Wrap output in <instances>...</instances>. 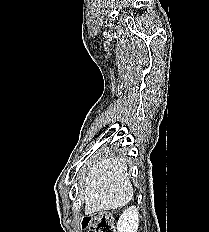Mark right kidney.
<instances>
[{
	"instance_id": "right-kidney-1",
	"label": "right kidney",
	"mask_w": 209,
	"mask_h": 232,
	"mask_svg": "<svg viewBox=\"0 0 209 232\" xmlns=\"http://www.w3.org/2000/svg\"><path fill=\"white\" fill-rule=\"evenodd\" d=\"M139 226V213L136 206L127 208L117 222V232H137Z\"/></svg>"
}]
</instances>
